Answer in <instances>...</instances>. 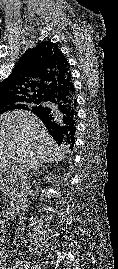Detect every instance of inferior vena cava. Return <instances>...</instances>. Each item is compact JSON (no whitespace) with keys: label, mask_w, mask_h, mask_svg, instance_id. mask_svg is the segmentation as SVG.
<instances>
[{"label":"inferior vena cava","mask_w":118,"mask_h":269,"mask_svg":"<svg viewBox=\"0 0 118 269\" xmlns=\"http://www.w3.org/2000/svg\"><path fill=\"white\" fill-rule=\"evenodd\" d=\"M20 177H21V182H20L21 192H20V198H19V206H20L21 210H23V213L20 216V223L23 224L24 220H25L24 211L26 208V198H25L24 192L28 187V181H27L28 174L26 172L21 173Z\"/></svg>","instance_id":"inferior-vena-cava-1"}]
</instances>
